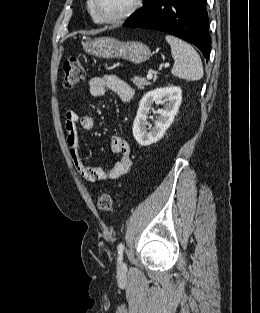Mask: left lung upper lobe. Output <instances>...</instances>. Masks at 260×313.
Segmentation results:
<instances>
[{
	"label": "left lung upper lobe",
	"mask_w": 260,
	"mask_h": 313,
	"mask_svg": "<svg viewBox=\"0 0 260 313\" xmlns=\"http://www.w3.org/2000/svg\"><path fill=\"white\" fill-rule=\"evenodd\" d=\"M143 1H144V5H143V7H144L150 0H143ZM137 12L133 13L128 19L130 20V19L134 18Z\"/></svg>",
	"instance_id": "5c2ea615"
}]
</instances>
